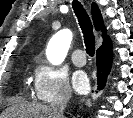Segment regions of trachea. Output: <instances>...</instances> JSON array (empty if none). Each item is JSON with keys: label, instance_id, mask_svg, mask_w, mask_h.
I'll return each instance as SVG.
<instances>
[{"label": "trachea", "instance_id": "obj_1", "mask_svg": "<svg viewBox=\"0 0 133 118\" xmlns=\"http://www.w3.org/2000/svg\"><path fill=\"white\" fill-rule=\"evenodd\" d=\"M73 9L78 18L80 28L84 35L86 52L89 56H94L95 53V37L93 35L92 23L83 6L77 2H73Z\"/></svg>", "mask_w": 133, "mask_h": 118}]
</instances>
